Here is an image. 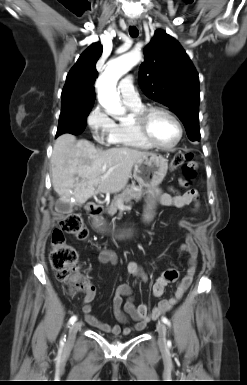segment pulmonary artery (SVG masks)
Segmentation results:
<instances>
[{
    "label": "pulmonary artery",
    "instance_id": "1",
    "mask_svg": "<svg viewBox=\"0 0 247 385\" xmlns=\"http://www.w3.org/2000/svg\"><path fill=\"white\" fill-rule=\"evenodd\" d=\"M119 90L124 103L129 105L141 104L139 94L133 86L132 78L130 76L121 80Z\"/></svg>",
    "mask_w": 247,
    "mask_h": 385
}]
</instances>
